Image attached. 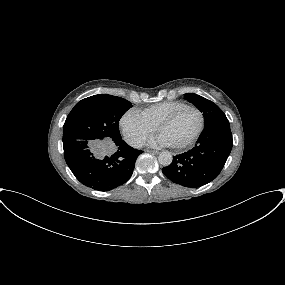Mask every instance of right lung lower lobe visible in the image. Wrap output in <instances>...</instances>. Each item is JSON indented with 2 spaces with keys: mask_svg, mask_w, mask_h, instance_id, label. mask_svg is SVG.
<instances>
[{
  "mask_svg": "<svg viewBox=\"0 0 285 285\" xmlns=\"http://www.w3.org/2000/svg\"><path fill=\"white\" fill-rule=\"evenodd\" d=\"M114 153H107L98 141L72 140L63 143L64 157L74 176L98 191L112 190L129 180L137 157L143 152L122 139L113 141Z\"/></svg>",
  "mask_w": 285,
  "mask_h": 285,
  "instance_id": "98d812e1",
  "label": "right lung lower lobe"
}]
</instances>
